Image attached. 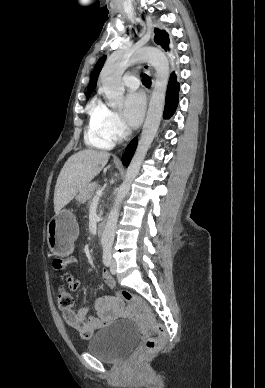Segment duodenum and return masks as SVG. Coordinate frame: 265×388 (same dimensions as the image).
I'll list each match as a JSON object with an SVG mask.
<instances>
[{"mask_svg":"<svg viewBox=\"0 0 265 388\" xmlns=\"http://www.w3.org/2000/svg\"><path fill=\"white\" fill-rule=\"evenodd\" d=\"M106 220H102L99 225H98V228H97V233L99 236H102L105 232V229H106Z\"/></svg>","mask_w":265,"mask_h":388,"instance_id":"duodenum-1","label":"duodenum"}]
</instances>
